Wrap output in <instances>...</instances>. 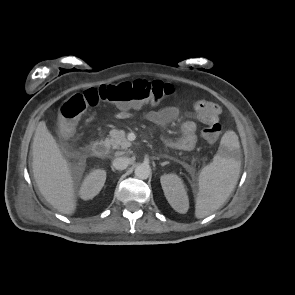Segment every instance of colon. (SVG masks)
I'll return each instance as SVG.
<instances>
[{
  "label": "colon",
  "mask_w": 295,
  "mask_h": 295,
  "mask_svg": "<svg viewBox=\"0 0 295 295\" xmlns=\"http://www.w3.org/2000/svg\"><path fill=\"white\" fill-rule=\"evenodd\" d=\"M175 89L161 81L137 79L118 84L102 85L77 93L65 100L59 108L58 129L63 136H69L80 116L90 107L108 102L118 108H140L146 104H157L170 97ZM221 133L218 122L208 124L202 131L208 142H216Z\"/></svg>",
  "instance_id": "5ec220e1"
}]
</instances>
